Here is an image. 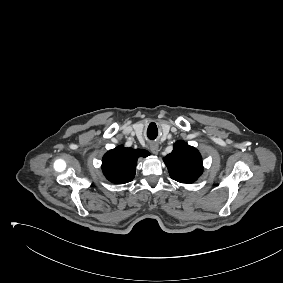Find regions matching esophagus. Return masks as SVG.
<instances>
[{
	"label": "esophagus",
	"instance_id": "1",
	"mask_svg": "<svg viewBox=\"0 0 283 283\" xmlns=\"http://www.w3.org/2000/svg\"><path fill=\"white\" fill-rule=\"evenodd\" d=\"M149 148H150V150H151V152H152L153 154H158V152H159V146H158L157 143H151L150 146H149Z\"/></svg>",
	"mask_w": 283,
	"mask_h": 283
}]
</instances>
